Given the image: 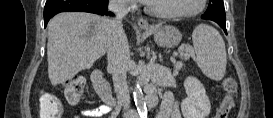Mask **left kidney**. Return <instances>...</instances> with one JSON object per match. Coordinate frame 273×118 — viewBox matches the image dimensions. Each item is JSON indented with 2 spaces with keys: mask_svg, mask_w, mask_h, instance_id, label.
Here are the masks:
<instances>
[{
  "mask_svg": "<svg viewBox=\"0 0 273 118\" xmlns=\"http://www.w3.org/2000/svg\"><path fill=\"white\" fill-rule=\"evenodd\" d=\"M184 87L188 97L181 102L184 118H206L211 111V104L203 84L195 77H187Z\"/></svg>",
  "mask_w": 273,
  "mask_h": 118,
  "instance_id": "obj_1",
  "label": "left kidney"
}]
</instances>
